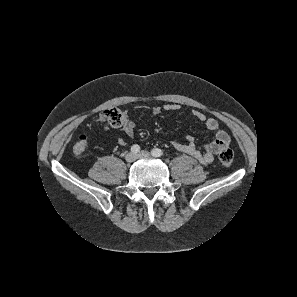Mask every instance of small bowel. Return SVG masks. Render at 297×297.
<instances>
[{
	"label": "small bowel",
	"mask_w": 297,
	"mask_h": 297,
	"mask_svg": "<svg viewBox=\"0 0 297 297\" xmlns=\"http://www.w3.org/2000/svg\"><path fill=\"white\" fill-rule=\"evenodd\" d=\"M179 108L180 107L177 104H167L163 109L165 111H176ZM161 111L162 108L158 106L151 108L152 115H158L161 113ZM192 115L197 120L203 122L207 129L215 131V138L205 146L203 152L197 149L194 139L190 136L186 138L185 143L174 141L173 146L180 152L197 159L200 163L208 165L213 162L214 157L219 152L224 150L229 145L230 138L225 131L219 129V123L215 118L208 117L205 113L199 110H193ZM135 128V123L132 120L126 118L122 124L121 130L128 138H132L135 134ZM117 143L121 146H124L127 144V140L124 138H119Z\"/></svg>",
	"instance_id": "1"
}]
</instances>
